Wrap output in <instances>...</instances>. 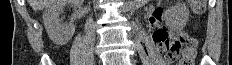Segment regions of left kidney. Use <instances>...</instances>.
<instances>
[{
  "label": "left kidney",
  "mask_w": 232,
  "mask_h": 65,
  "mask_svg": "<svg viewBox=\"0 0 232 65\" xmlns=\"http://www.w3.org/2000/svg\"><path fill=\"white\" fill-rule=\"evenodd\" d=\"M166 21L174 30H182L188 19L189 9L181 2H178L175 7L166 11Z\"/></svg>",
  "instance_id": "5707ae66"
}]
</instances>
